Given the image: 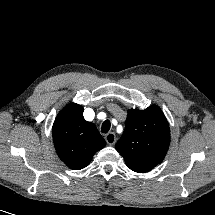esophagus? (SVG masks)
<instances>
[{
  "label": "esophagus",
  "instance_id": "1",
  "mask_svg": "<svg viewBox=\"0 0 215 215\" xmlns=\"http://www.w3.org/2000/svg\"><path fill=\"white\" fill-rule=\"evenodd\" d=\"M105 140L108 145H114L116 143V136L113 132H110L105 136Z\"/></svg>",
  "mask_w": 215,
  "mask_h": 215
}]
</instances>
